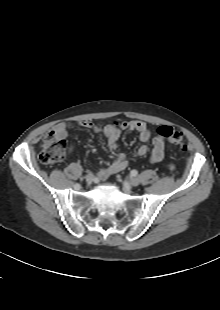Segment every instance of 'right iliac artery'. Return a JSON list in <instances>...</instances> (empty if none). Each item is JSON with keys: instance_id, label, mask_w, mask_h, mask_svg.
<instances>
[{"instance_id": "obj_1", "label": "right iliac artery", "mask_w": 220, "mask_h": 310, "mask_svg": "<svg viewBox=\"0 0 220 310\" xmlns=\"http://www.w3.org/2000/svg\"><path fill=\"white\" fill-rule=\"evenodd\" d=\"M74 188H75L76 190H79V189L81 188V186H80V184L76 183V184L74 185Z\"/></svg>"}]
</instances>
